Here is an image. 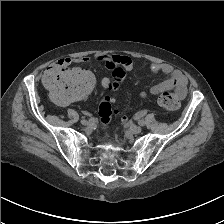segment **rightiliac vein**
<instances>
[{
  "mask_svg": "<svg viewBox=\"0 0 224 224\" xmlns=\"http://www.w3.org/2000/svg\"><path fill=\"white\" fill-rule=\"evenodd\" d=\"M81 123H82V125H84V126H89V125H91V123H90L89 121H87V120H81Z\"/></svg>",
  "mask_w": 224,
  "mask_h": 224,
  "instance_id": "right-iliac-vein-1",
  "label": "right iliac vein"
}]
</instances>
